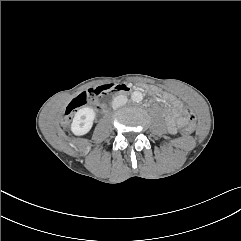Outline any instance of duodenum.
I'll use <instances>...</instances> for the list:
<instances>
[{
	"instance_id": "410a0bca",
	"label": "duodenum",
	"mask_w": 241,
	"mask_h": 241,
	"mask_svg": "<svg viewBox=\"0 0 241 241\" xmlns=\"http://www.w3.org/2000/svg\"><path fill=\"white\" fill-rule=\"evenodd\" d=\"M112 91L116 92L117 94H123L128 92V87L125 85H117L111 88Z\"/></svg>"
}]
</instances>
